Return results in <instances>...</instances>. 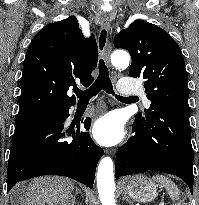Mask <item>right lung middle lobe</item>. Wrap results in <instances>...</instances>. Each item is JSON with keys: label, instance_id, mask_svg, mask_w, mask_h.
<instances>
[{"label": "right lung middle lobe", "instance_id": "right-lung-middle-lobe-1", "mask_svg": "<svg viewBox=\"0 0 199 205\" xmlns=\"http://www.w3.org/2000/svg\"><path fill=\"white\" fill-rule=\"evenodd\" d=\"M60 113L61 110H53L16 117V127L13 138L21 136L41 125L50 122H58Z\"/></svg>", "mask_w": 199, "mask_h": 205}]
</instances>
